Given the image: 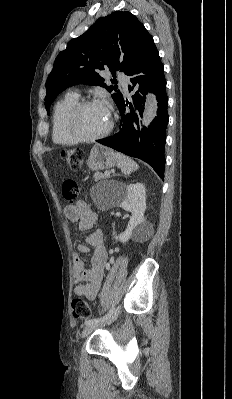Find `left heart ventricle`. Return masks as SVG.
<instances>
[{
    "label": "left heart ventricle",
    "instance_id": "b2bd125f",
    "mask_svg": "<svg viewBox=\"0 0 232 399\" xmlns=\"http://www.w3.org/2000/svg\"><path fill=\"white\" fill-rule=\"evenodd\" d=\"M111 116L106 106L95 104L83 108L75 119L77 132L84 137H95L105 132Z\"/></svg>",
    "mask_w": 232,
    "mask_h": 399
}]
</instances>
